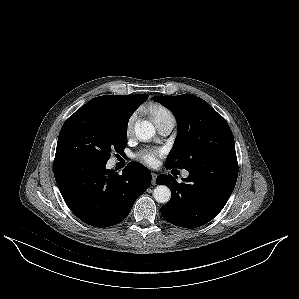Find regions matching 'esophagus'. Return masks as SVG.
<instances>
[{"mask_svg": "<svg viewBox=\"0 0 299 299\" xmlns=\"http://www.w3.org/2000/svg\"><path fill=\"white\" fill-rule=\"evenodd\" d=\"M151 176H152V185H156V178H157V174L152 172L151 173Z\"/></svg>", "mask_w": 299, "mask_h": 299, "instance_id": "esophagus-1", "label": "esophagus"}]
</instances>
